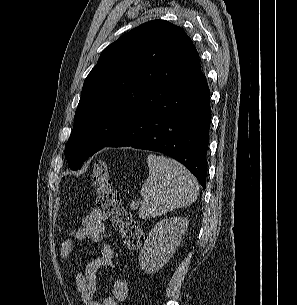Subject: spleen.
<instances>
[{
  "mask_svg": "<svg viewBox=\"0 0 297 305\" xmlns=\"http://www.w3.org/2000/svg\"><path fill=\"white\" fill-rule=\"evenodd\" d=\"M149 176L141 188L144 198L139 216H161L193 203L199 195L197 179L179 162L165 156L149 154Z\"/></svg>",
  "mask_w": 297,
  "mask_h": 305,
  "instance_id": "1",
  "label": "spleen"
}]
</instances>
